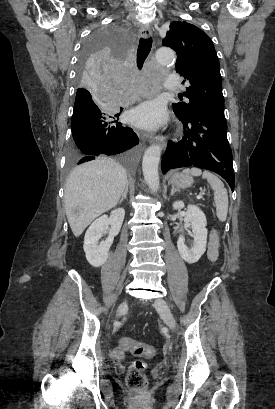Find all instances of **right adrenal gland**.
<instances>
[{"instance_id":"2a0ac1e0","label":"right adrenal gland","mask_w":275,"mask_h":409,"mask_svg":"<svg viewBox=\"0 0 275 409\" xmlns=\"http://www.w3.org/2000/svg\"><path fill=\"white\" fill-rule=\"evenodd\" d=\"M128 186H129V182H127L125 188H124V192H122V196L119 200V205H121V202L123 200V198H127V192H128Z\"/></svg>"}]
</instances>
